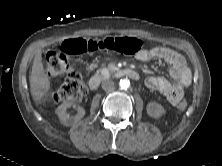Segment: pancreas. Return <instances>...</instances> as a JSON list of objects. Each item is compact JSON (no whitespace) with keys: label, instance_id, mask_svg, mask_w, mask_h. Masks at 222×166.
<instances>
[{"label":"pancreas","instance_id":"obj_1","mask_svg":"<svg viewBox=\"0 0 222 166\" xmlns=\"http://www.w3.org/2000/svg\"><path fill=\"white\" fill-rule=\"evenodd\" d=\"M97 74L102 78H107L111 75V72L108 68H102L97 72Z\"/></svg>","mask_w":222,"mask_h":166}]
</instances>
